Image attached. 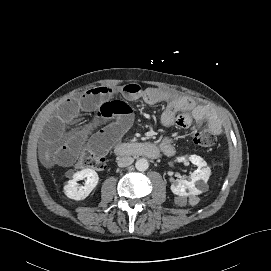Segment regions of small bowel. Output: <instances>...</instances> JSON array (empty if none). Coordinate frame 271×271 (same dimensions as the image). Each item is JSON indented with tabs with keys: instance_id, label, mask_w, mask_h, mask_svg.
<instances>
[{
	"instance_id": "small-bowel-1",
	"label": "small bowel",
	"mask_w": 271,
	"mask_h": 271,
	"mask_svg": "<svg viewBox=\"0 0 271 271\" xmlns=\"http://www.w3.org/2000/svg\"><path fill=\"white\" fill-rule=\"evenodd\" d=\"M118 93L128 101L142 99L148 104H165L166 108L161 115V123L165 127L177 125L188 128L193 123L198 127L207 121L215 134L221 132V123L214 110L206 105H198L189 96L153 87L142 88L135 83L127 84L118 91L111 87L99 86L65 100L47 122L45 135L53 162L61 166L71 165L85 141L97 153L105 154L111 144L129 129L132 110L125 101L117 98ZM83 112L94 113L95 119L80 131H69L67 125ZM109 120L111 123L92 132L103 121ZM160 147L165 155L171 156L175 152L168 137L161 140Z\"/></svg>"
}]
</instances>
